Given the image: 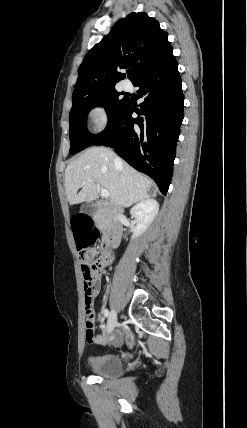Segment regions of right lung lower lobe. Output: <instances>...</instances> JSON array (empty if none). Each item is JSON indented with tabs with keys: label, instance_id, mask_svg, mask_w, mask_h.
Listing matches in <instances>:
<instances>
[{
	"label": "right lung lower lobe",
	"instance_id": "1",
	"mask_svg": "<svg viewBox=\"0 0 247 428\" xmlns=\"http://www.w3.org/2000/svg\"><path fill=\"white\" fill-rule=\"evenodd\" d=\"M136 109L130 99L112 125L93 144L113 147L132 167L150 176L166 195L173 174L176 144L182 123L184 96L178 63L172 55L139 77ZM138 114L132 118V113Z\"/></svg>",
	"mask_w": 247,
	"mask_h": 428
}]
</instances>
